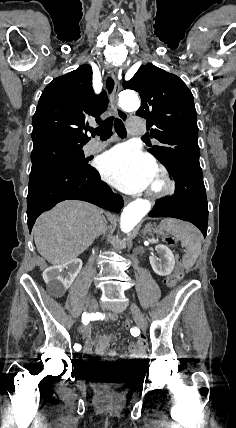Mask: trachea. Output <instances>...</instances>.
Instances as JSON below:
<instances>
[{
  "instance_id": "1",
  "label": "trachea",
  "mask_w": 236,
  "mask_h": 428,
  "mask_svg": "<svg viewBox=\"0 0 236 428\" xmlns=\"http://www.w3.org/2000/svg\"><path fill=\"white\" fill-rule=\"evenodd\" d=\"M106 87L109 93L112 92L113 87H114V81L111 77H108L106 80ZM114 121V125H115V131L117 132V134L121 137V138H125L127 136V132L126 129L124 127L123 122L120 120V118H114L109 117L107 118V120L105 121V123L103 125H100L97 128H92L90 130V132L93 135H99L101 140H107V138H110L112 135V123Z\"/></svg>"
}]
</instances>
